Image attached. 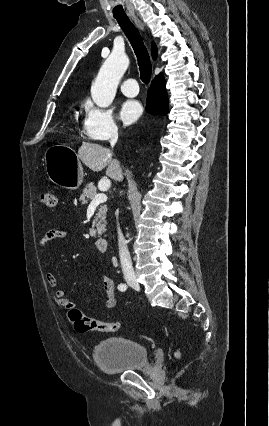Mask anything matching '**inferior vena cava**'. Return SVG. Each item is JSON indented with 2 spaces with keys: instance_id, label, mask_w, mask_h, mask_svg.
<instances>
[{
  "instance_id": "1",
  "label": "inferior vena cava",
  "mask_w": 269,
  "mask_h": 426,
  "mask_svg": "<svg viewBox=\"0 0 269 426\" xmlns=\"http://www.w3.org/2000/svg\"><path fill=\"white\" fill-rule=\"evenodd\" d=\"M117 140H118V133L117 131H113L110 137V144L112 147L115 146V144L117 143ZM118 246H119L121 266H122L124 275H134L131 257L127 248V242L120 228H118Z\"/></svg>"
}]
</instances>
